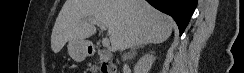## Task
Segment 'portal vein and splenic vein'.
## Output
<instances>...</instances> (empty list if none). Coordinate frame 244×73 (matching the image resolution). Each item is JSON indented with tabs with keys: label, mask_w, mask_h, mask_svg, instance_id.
Masks as SVG:
<instances>
[{
	"label": "portal vein and splenic vein",
	"mask_w": 244,
	"mask_h": 73,
	"mask_svg": "<svg viewBox=\"0 0 244 73\" xmlns=\"http://www.w3.org/2000/svg\"><path fill=\"white\" fill-rule=\"evenodd\" d=\"M88 22L91 24H97L102 31L105 30V25L96 19H89ZM102 45L103 47L108 48L110 46V40L107 37L103 38Z\"/></svg>",
	"instance_id": "18ae733b"
}]
</instances>
